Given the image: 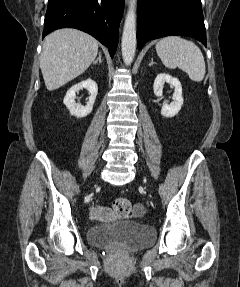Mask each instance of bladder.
Here are the masks:
<instances>
[{"instance_id": "bladder-1", "label": "bladder", "mask_w": 240, "mask_h": 287, "mask_svg": "<svg viewBox=\"0 0 240 287\" xmlns=\"http://www.w3.org/2000/svg\"><path fill=\"white\" fill-rule=\"evenodd\" d=\"M87 239L92 245L107 247L112 243H118L134 251L152 244L155 232L147 225L132 220H119L91 227Z\"/></svg>"}]
</instances>
